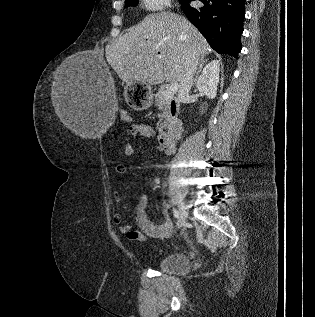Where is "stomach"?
Returning a JSON list of instances; mask_svg holds the SVG:
<instances>
[{
    "label": "stomach",
    "mask_w": 315,
    "mask_h": 317,
    "mask_svg": "<svg viewBox=\"0 0 315 317\" xmlns=\"http://www.w3.org/2000/svg\"><path fill=\"white\" fill-rule=\"evenodd\" d=\"M125 98H131V108L144 110L152 108L156 104V97H153L149 84L133 81L126 84Z\"/></svg>",
    "instance_id": "1"
}]
</instances>
